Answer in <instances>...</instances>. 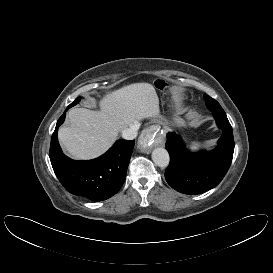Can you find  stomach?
Instances as JSON below:
<instances>
[{
    "label": "stomach",
    "instance_id": "0dacf381",
    "mask_svg": "<svg viewBox=\"0 0 273 273\" xmlns=\"http://www.w3.org/2000/svg\"><path fill=\"white\" fill-rule=\"evenodd\" d=\"M159 81V84H158V87L161 89V90H165L167 89L168 87V83L164 80H158Z\"/></svg>",
    "mask_w": 273,
    "mask_h": 273
}]
</instances>
